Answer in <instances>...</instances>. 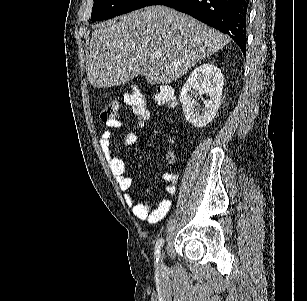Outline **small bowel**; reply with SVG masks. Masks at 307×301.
<instances>
[{
    "instance_id": "c3829d8e",
    "label": "small bowel",
    "mask_w": 307,
    "mask_h": 301,
    "mask_svg": "<svg viewBox=\"0 0 307 301\" xmlns=\"http://www.w3.org/2000/svg\"><path fill=\"white\" fill-rule=\"evenodd\" d=\"M120 125L119 121L105 124L99 141L101 149L108 160L112 175L114 176L120 190L124 193V200L126 204L132 208L134 216L149 223H158L170 210L176 190L177 176L171 172L158 173L153 176L155 180H162L167 183L164 188L163 197L157 207L152 208L149 204L136 202L135 197L130 193L132 180L127 175L126 164L121 158L116 156L115 151L110 144L112 133L118 129ZM137 140V134L135 132H129L123 139V144L126 146H132L137 142ZM151 146V144H148V147Z\"/></svg>"
}]
</instances>
